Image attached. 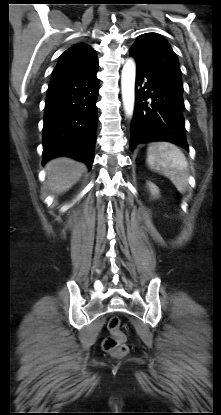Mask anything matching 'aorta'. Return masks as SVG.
Returning a JSON list of instances; mask_svg holds the SVG:
<instances>
[{"instance_id": "762f6f07", "label": "aorta", "mask_w": 221, "mask_h": 415, "mask_svg": "<svg viewBox=\"0 0 221 415\" xmlns=\"http://www.w3.org/2000/svg\"><path fill=\"white\" fill-rule=\"evenodd\" d=\"M135 75L136 64L132 59H127L121 74V90L124 111L128 117L132 116L134 110Z\"/></svg>"}]
</instances>
